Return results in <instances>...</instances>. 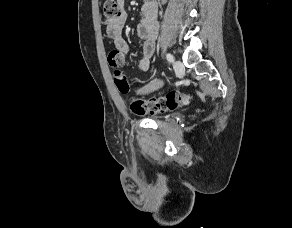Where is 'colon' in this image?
Masks as SVG:
<instances>
[{"label":"colon","instance_id":"5ec220e1","mask_svg":"<svg viewBox=\"0 0 292 228\" xmlns=\"http://www.w3.org/2000/svg\"><path fill=\"white\" fill-rule=\"evenodd\" d=\"M121 16V10L117 0H106L103 5V18L105 23L113 25L118 22ZM109 65L114 69H119L123 63L122 56L116 52L111 51L108 55ZM115 83L122 93H127L129 86L126 77L119 71L115 75ZM190 101V96L180 91H170L161 97L149 98L142 100L139 98H131L129 101L130 109L137 115H144L146 113L165 112L174 110Z\"/></svg>","mask_w":292,"mask_h":228}]
</instances>
